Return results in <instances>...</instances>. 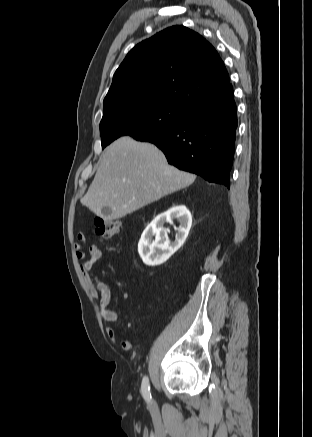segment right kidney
<instances>
[{
	"label": "right kidney",
	"mask_w": 312,
	"mask_h": 437,
	"mask_svg": "<svg viewBox=\"0 0 312 437\" xmlns=\"http://www.w3.org/2000/svg\"><path fill=\"white\" fill-rule=\"evenodd\" d=\"M177 220L180 223L175 241L170 242L166 222ZM192 224L190 211L184 206H174L168 211L158 215L144 230L139 244L138 252L143 262L149 266H157L166 262L185 242ZM155 240L152 241V237Z\"/></svg>",
	"instance_id": "obj_1"
}]
</instances>
